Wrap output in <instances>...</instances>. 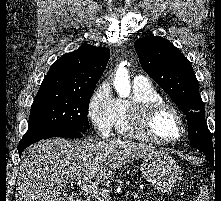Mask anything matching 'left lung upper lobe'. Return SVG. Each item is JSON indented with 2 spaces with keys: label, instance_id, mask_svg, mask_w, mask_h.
<instances>
[{
  "label": "left lung upper lobe",
  "instance_id": "1",
  "mask_svg": "<svg viewBox=\"0 0 221 201\" xmlns=\"http://www.w3.org/2000/svg\"><path fill=\"white\" fill-rule=\"evenodd\" d=\"M135 50L144 71L185 113L190 144L204 153L214 154L204 103L190 61L162 37L149 35L138 39Z\"/></svg>",
  "mask_w": 221,
  "mask_h": 201
}]
</instances>
